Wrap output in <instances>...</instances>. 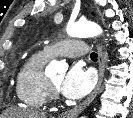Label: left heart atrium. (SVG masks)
<instances>
[{
    "label": "left heart atrium",
    "mask_w": 133,
    "mask_h": 118,
    "mask_svg": "<svg viewBox=\"0 0 133 118\" xmlns=\"http://www.w3.org/2000/svg\"><path fill=\"white\" fill-rule=\"evenodd\" d=\"M95 74L80 64L73 65L59 85L61 93L69 99H80L95 85Z\"/></svg>",
    "instance_id": "obj_1"
}]
</instances>
